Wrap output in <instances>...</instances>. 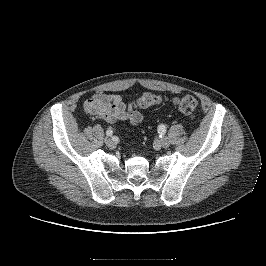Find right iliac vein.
I'll list each match as a JSON object with an SVG mask.
<instances>
[{"mask_svg":"<svg viewBox=\"0 0 266 266\" xmlns=\"http://www.w3.org/2000/svg\"><path fill=\"white\" fill-rule=\"evenodd\" d=\"M105 143L111 149L115 148V146H116L115 141L113 139H111V138L105 139Z\"/></svg>","mask_w":266,"mask_h":266,"instance_id":"1","label":"right iliac vein"}]
</instances>
